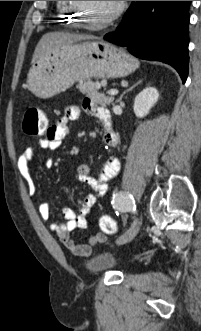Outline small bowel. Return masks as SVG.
Instances as JSON below:
<instances>
[{"label": "small bowel", "instance_id": "c3829d8e", "mask_svg": "<svg viewBox=\"0 0 201 331\" xmlns=\"http://www.w3.org/2000/svg\"><path fill=\"white\" fill-rule=\"evenodd\" d=\"M83 107L86 112L95 116L103 125L102 141L108 151V158L102 168L99 177L92 176L88 164H81L76 173V178L88 185L95 193H90L79 201V211L64 207L62 214L63 222H50V230L57 235L61 243L71 252L78 256H87L91 252L88 244H77L71 237V233L77 229L87 227V215L93 207L96 196H104L107 192V181L112 179L120 170L119 159L112 154L118 144V136L111 124V117L108 110L98 105L91 99H85ZM80 117V108L75 105L68 106L63 116L48 127L45 136L36 145L24 149L17 159L18 169L26 181L30 194H35L36 186L30 174L29 165L38 149H58L68 133V124ZM38 211L42 219L49 221L51 217L50 205L43 202L39 205Z\"/></svg>", "mask_w": 201, "mask_h": 331}]
</instances>
